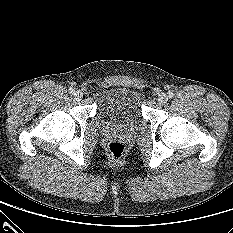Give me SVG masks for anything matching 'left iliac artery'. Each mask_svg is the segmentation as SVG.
Returning <instances> with one entry per match:
<instances>
[{"label": "left iliac artery", "mask_w": 233, "mask_h": 233, "mask_svg": "<svg viewBox=\"0 0 233 233\" xmlns=\"http://www.w3.org/2000/svg\"><path fill=\"white\" fill-rule=\"evenodd\" d=\"M167 95L169 98H172L174 96V93L173 91H168Z\"/></svg>", "instance_id": "obj_1"}]
</instances>
